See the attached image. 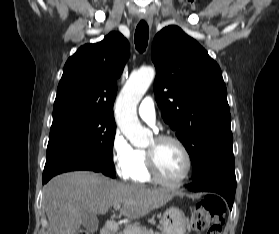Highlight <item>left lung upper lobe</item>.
Segmentation results:
<instances>
[{"instance_id":"5c2ea615","label":"left lung upper lobe","mask_w":279,"mask_h":234,"mask_svg":"<svg viewBox=\"0 0 279 234\" xmlns=\"http://www.w3.org/2000/svg\"><path fill=\"white\" fill-rule=\"evenodd\" d=\"M155 98L164 121L190 155L193 180L219 169H234L231 115L219 65L180 27L154 38Z\"/></svg>"}]
</instances>
